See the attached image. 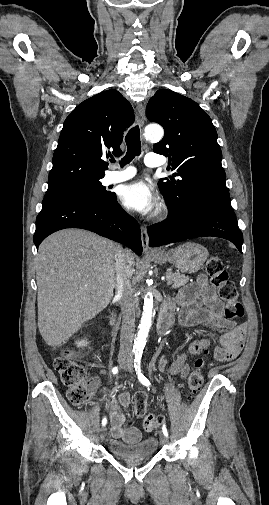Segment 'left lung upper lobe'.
<instances>
[{
	"label": "left lung upper lobe",
	"mask_w": 269,
	"mask_h": 505,
	"mask_svg": "<svg viewBox=\"0 0 269 505\" xmlns=\"http://www.w3.org/2000/svg\"><path fill=\"white\" fill-rule=\"evenodd\" d=\"M146 116L165 130L153 151L168 156V169L174 172L158 182L167 205L177 211L186 210L195 191L229 196L217 132L196 102L160 89L149 100Z\"/></svg>",
	"instance_id": "left-lung-upper-lobe-1"
}]
</instances>
